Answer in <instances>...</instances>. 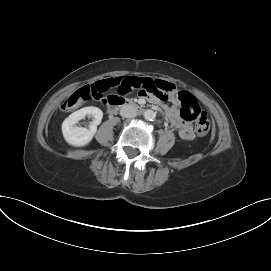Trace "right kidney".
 <instances>
[{
  "label": "right kidney",
  "mask_w": 271,
  "mask_h": 271,
  "mask_svg": "<svg viewBox=\"0 0 271 271\" xmlns=\"http://www.w3.org/2000/svg\"><path fill=\"white\" fill-rule=\"evenodd\" d=\"M86 116L93 117L89 129L76 126L81 119ZM103 112L97 107H84L69 115L62 123V133L67 143L72 146H85L91 142L97 126L101 123Z\"/></svg>",
  "instance_id": "1"
}]
</instances>
